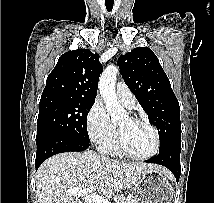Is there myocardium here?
Listing matches in <instances>:
<instances>
[{"label":"myocardium","instance_id":"obj_1","mask_svg":"<svg viewBox=\"0 0 214 203\" xmlns=\"http://www.w3.org/2000/svg\"><path fill=\"white\" fill-rule=\"evenodd\" d=\"M130 119L132 121L142 123L152 130V132L154 134V148L150 153H148L146 155H135V154L129 152L124 145L122 131H121L120 127L118 126L117 137H116V145H117L118 151L121 154H123L124 156H126L130 159H133V160L143 161V160H148V159L153 158L154 156L157 155V153L159 152V149H160V134H159L157 128L144 118L130 116Z\"/></svg>","mask_w":214,"mask_h":203}]
</instances>
